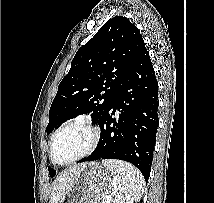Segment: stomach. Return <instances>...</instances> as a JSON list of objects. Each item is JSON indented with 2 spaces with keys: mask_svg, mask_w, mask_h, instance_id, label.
Here are the masks:
<instances>
[{
  "mask_svg": "<svg viewBox=\"0 0 214 203\" xmlns=\"http://www.w3.org/2000/svg\"><path fill=\"white\" fill-rule=\"evenodd\" d=\"M114 188V174L98 162H88L59 203H100Z\"/></svg>",
  "mask_w": 214,
  "mask_h": 203,
  "instance_id": "stomach-1",
  "label": "stomach"
}]
</instances>
